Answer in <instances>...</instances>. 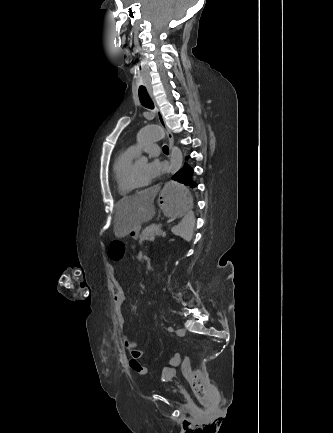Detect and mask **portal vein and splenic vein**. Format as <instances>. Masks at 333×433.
<instances>
[{
	"label": "portal vein and splenic vein",
	"instance_id": "18ae733b",
	"mask_svg": "<svg viewBox=\"0 0 333 433\" xmlns=\"http://www.w3.org/2000/svg\"><path fill=\"white\" fill-rule=\"evenodd\" d=\"M164 234V231H160V232H158L157 233V235H159V234ZM155 240V236H151L150 238H149V241H154Z\"/></svg>",
	"mask_w": 333,
	"mask_h": 433
}]
</instances>
